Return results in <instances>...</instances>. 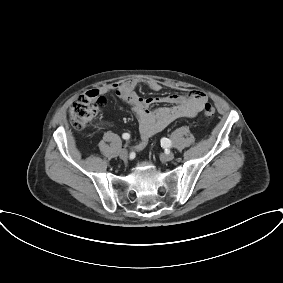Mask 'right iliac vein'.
I'll use <instances>...</instances> for the list:
<instances>
[{"instance_id": "obj_1", "label": "right iliac vein", "mask_w": 283, "mask_h": 283, "mask_svg": "<svg viewBox=\"0 0 283 283\" xmlns=\"http://www.w3.org/2000/svg\"><path fill=\"white\" fill-rule=\"evenodd\" d=\"M119 156L121 159L125 160L128 158V151L126 149H122L120 152H119Z\"/></svg>"}]
</instances>
